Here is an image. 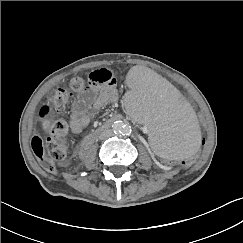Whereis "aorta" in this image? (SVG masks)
Listing matches in <instances>:
<instances>
[{
  "label": "aorta",
  "mask_w": 243,
  "mask_h": 243,
  "mask_svg": "<svg viewBox=\"0 0 243 243\" xmlns=\"http://www.w3.org/2000/svg\"><path fill=\"white\" fill-rule=\"evenodd\" d=\"M113 131L117 134L128 135L131 133V126L121 120H117L113 123Z\"/></svg>",
  "instance_id": "1"
}]
</instances>
